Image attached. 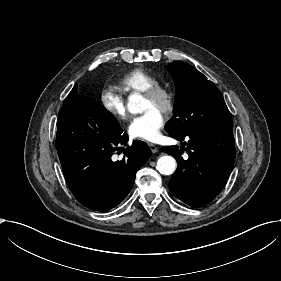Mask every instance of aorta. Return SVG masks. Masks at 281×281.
<instances>
[{"instance_id":"aorta-1","label":"aorta","mask_w":281,"mask_h":281,"mask_svg":"<svg viewBox=\"0 0 281 281\" xmlns=\"http://www.w3.org/2000/svg\"><path fill=\"white\" fill-rule=\"evenodd\" d=\"M127 107L130 113L137 114L144 110V100L140 94H132L128 98ZM156 169L163 175H171L176 170V160L170 155L161 156Z\"/></svg>"}]
</instances>
